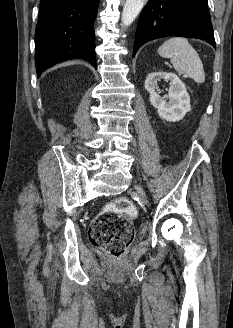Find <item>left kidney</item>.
<instances>
[{"label": "left kidney", "instance_id": "left-kidney-1", "mask_svg": "<svg viewBox=\"0 0 233 328\" xmlns=\"http://www.w3.org/2000/svg\"><path fill=\"white\" fill-rule=\"evenodd\" d=\"M161 79L170 81L167 100L156 92L157 83ZM145 89L150 93L151 105L157 109L158 115L167 121H180L191 110L186 86L174 73L163 71L150 73L145 80Z\"/></svg>", "mask_w": 233, "mask_h": 328}]
</instances>
